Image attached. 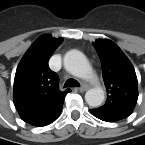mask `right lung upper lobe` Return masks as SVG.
I'll return each instance as SVG.
<instances>
[{"instance_id":"cb5924a9","label":"right lung upper lobe","mask_w":145,"mask_h":145,"mask_svg":"<svg viewBox=\"0 0 145 145\" xmlns=\"http://www.w3.org/2000/svg\"><path fill=\"white\" fill-rule=\"evenodd\" d=\"M61 39L39 37L22 58L14 80V104L21 118L34 126H46L61 113L67 92L58 89V76L48 61Z\"/></svg>"}]
</instances>
